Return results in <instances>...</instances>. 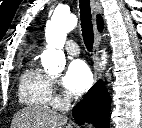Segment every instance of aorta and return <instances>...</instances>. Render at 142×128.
Returning <instances> with one entry per match:
<instances>
[{"mask_svg":"<svg viewBox=\"0 0 142 128\" xmlns=\"http://www.w3.org/2000/svg\"><path fill=\"white\" fill-rule=\"evenodd\" d=\"M77 17L69 11L55 10L51 20L46 24V50L43 53L42 65L49 73H60L65 66V55L62 51L67 34L77 25ZM102 65L106 63L105 52Z\"/></svg>","mask_w":142,"mask_h":128,"instance_id":"obj_1","label":"aorta"}]
</instances>
